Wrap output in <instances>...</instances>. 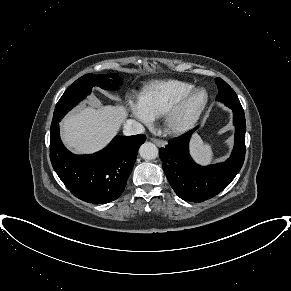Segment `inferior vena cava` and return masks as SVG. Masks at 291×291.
I'll return each mask as SVG.
<instances>
[{
	"label": "inferior vena cava",
	"mask_w": 291,
	"mask_h": 291,
	"mask_svg": "<svg viewBox=\"0 0 291 291\" xmlns=\"http://www.w3.org/2000/svg\"><path fill=\"white\" fill-rule=\"evenodd\" d=\"M144 127L142 124L135 120H127L123 127V133L125 135H136L144 133Z\"/></svg>",
	"instance_id": "1"
}]
</instances>
